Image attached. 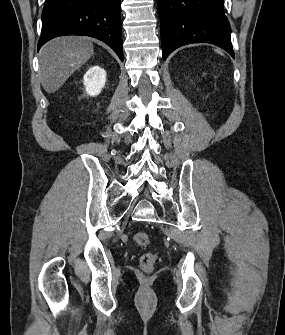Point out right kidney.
Returning <instances> with one entry per match:
<instances>
[{
	"instance_id": "1",
	"label": "right kidney",
	"mask_w": 285,
	"mask_h": 335,
	"mask_svg": "<svg viewBox=\"0 0 285 335\" xmlns=\"http://www.w3.org/2000/svg\"><path fill=\"white\" fill-rule=\"evenodd\" d=\"M83 84L86 86V92L89 96H98L106 82V72L99 66L89 68L88 72L83 76Z\"/></svg>"
}]
</instances>
